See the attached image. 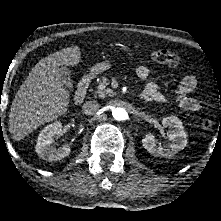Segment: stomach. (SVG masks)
Listing matches in <instances>:
<instances>
[{"instance_id": "obj_1", "label": "stomach", "mask_w": 221, "mask_h": 221, "mask_svg": "<svg viewBox=\"0 0 221 221\" xmlns=\"http://www.w3.org/2000/svg\"><path fill=\"white\" fill-rule=\"evenodd\" d=\"M109 68H110V63H108V62L97 63L91 68L90 74L92 76H96L98 74H101V73L107 71Z\"/></svg>"}]
</instances>
